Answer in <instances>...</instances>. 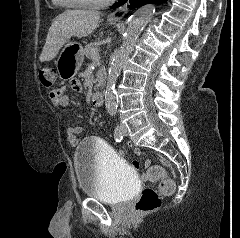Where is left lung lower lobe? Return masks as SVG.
I'll list each match as a JSON object with an SVG mask.
<instances>
[{
    "label": "left lung lower lobe",
    "instance_id": "0a47b994",
    "mask_svg": "<svg viewBox=\"0 0 240 238\" xmlns=\"http://www.w3.org/2000/svg\"><path fill=\"white\" fill-rule=\"evenodd\" d=\"M128 0H118V3H115L111 6L112 9H115L117 6L120 7L123 3L127 2ZM130 2V9L135 7H140L148 3H162L166 2V0H129Z\"/></svg>",
    "mask_w": 240,
    "mask_h": 238
}]
</instances>
